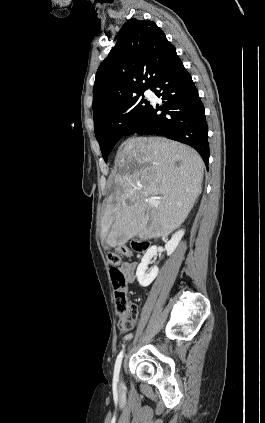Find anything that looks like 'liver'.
Returning <instances> with one entry per match:
<instances>
[{
    "mask_svg": "<svg viewBox=\"0 0 265 423\" xmlns=\"http://www.w3.org/2000/svg\"><path fill=\"white\" fill-rule=\"evenodd\" d=\"M204 163L191 147L162 137H131L117 152L114 192L101 220V240L122 246L139 236L170 234L188 217L202 191ZM155 197L161 204L150 205Z\"/></svg>",
    "mask_w": 265,
    "mask_h": 423,
    "instance_id": "6515ba94",
    "label": "liver"
}]
</instances>
